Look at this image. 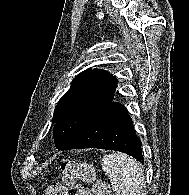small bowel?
I'll return each instance as SVG.
<instances>
[{"instance_id": "obj_1", "label": "small bowel", "mask_w": 189, "mask_h": 195, "mask_svg": "<svg viewBox=\"0 0 189 195\" xmlns=\"http://www.w3.org/2000/svg\"><path fill=\"white\" fill-rule=\"evenodd\" d=\"M80 195H92V191L90 188L81 187L80 188Z\"/></svg>"}]
</instances>
